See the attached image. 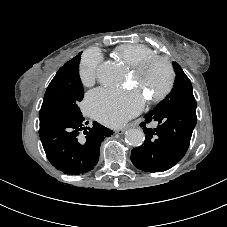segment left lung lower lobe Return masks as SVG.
<instances>
[{
	"instance_id": "left-lung-lower-lobe-1",
	"label": "left lung lower lobe",
	"mask_w": 227,
	"mask_h": 227,
	"mask_svg": "<svg viewBox=\"0 0 227 227\" xmlns=\"http://www.w3.org/2000/svg\"><path fill=\"white\" fill-rule=\"evenodd\" d=\"M144 117L140 126L146 134L145 141L132 150L131 161L143 171H166L185 155L197 122L196 113L180 109L152 110ZM151 121L158 123L156 128L147 126Z\"/></svg>"
}]
</instances>
